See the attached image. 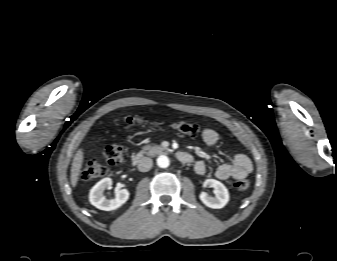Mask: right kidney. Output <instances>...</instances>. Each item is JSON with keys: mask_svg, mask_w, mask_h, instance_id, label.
<instances>
[{"mask_svg": "<svg viewBox=\"0 0 337 261\" xmlns=\"http://www.w3.org/2000/svg\"><path fill=\"white\" fill-rule=\"evenodd\" d=\"M112 186L110 178L100 180L91 190L89 194L90 203L100 210L111 211L119 208L129 198V193L126 189L115 191V197L107 199L103 192Z\"/></svg>", "mask_w": 337, "mask_h": 261, "instance_id": "right-kidney-1", "label": "right kidney"}]
</instances>
